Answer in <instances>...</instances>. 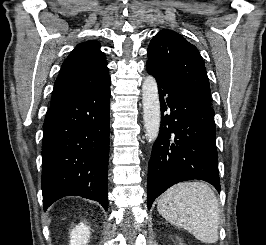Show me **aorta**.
Wrapping results in <instances>:
<instances>
[{
	"label": "aorta",
	"mask_w": 266,
	"mask_h": 245,
	"mask_svg": "<svg viewBox=\"0 0 266 245\" xmlns=\"http://www.w3.org/2000/svg\"><path fill=\"white\" fill-rule=\"evenodd\" d=\"M143 123L148 143H154L159 135L161 110L158 84L151 74L142 82Z\"/></svg>",
	"instance_id": "aorta-1"
}]
</instances>
